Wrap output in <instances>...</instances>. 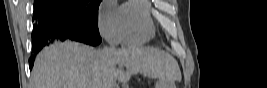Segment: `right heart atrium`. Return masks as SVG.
<instances>
[{
    "label": "right heart atrium",
    "mask_w": 267,
    "mask_h": 88,
    "mask_svg": "<svg viewBox=\"0 0 267 88\" xmlns=\"http://www.w3.org/2000/svg\"><path fill=\"white\" fill-rule=\"evenodd\" d=\"M98 29L111 45L122 41L121 8L112 1H104L98 12Z\"/></svg>",
    "instance_id": "obj_1"
}]
</instances>
